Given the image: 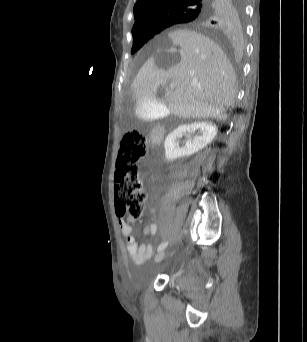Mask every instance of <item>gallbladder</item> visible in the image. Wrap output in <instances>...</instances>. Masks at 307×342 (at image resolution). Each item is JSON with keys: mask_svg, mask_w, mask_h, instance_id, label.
<instances>
[{"mask_svg": "<svg viewBox=\"0 0 307 342\" xmlns=\"http://www.w3.org/2000/svg\"><path fill=\"white\" fill-rule=\"evenodd\" d=\"M133 101L136 102V113L140 118H145L146 123H153L154 118H166L171 115L172 110L169 106L161 103L159 99H154L153 95H134Z\"/></svg>", "mask_w": 307, "mask_h": 342, "instance_id": "bac80fb5", "label": "gallbladder"}]
</instances>
